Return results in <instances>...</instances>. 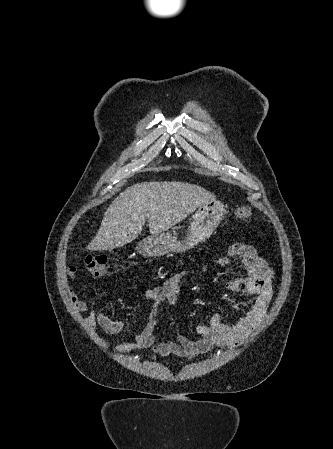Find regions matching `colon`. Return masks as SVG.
I'll return each instance as SVG.
<instances>
[{
  "instance_id": "1",
  "label": "colon",
  "mask_w": 333,
  "mask_h": 449,
  "mask_svg": "<svg viewBox=\"0 0 333 449\" xmlns=\"http://www.w3.org/2000/svg\"><path fill=\"white\" fill-rule=\"evenodd\" d=\"M252 216V211L248 206H241L235 210V217L246 221ZM85 268L93 275H102L106 271L107 256L104 254L86 255L83 259Z\"/></svg>"
}]
</instances>
